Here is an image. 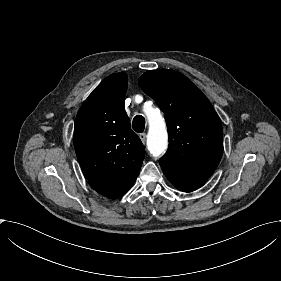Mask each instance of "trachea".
Listing matches in <instances>:
<instances>
[{
  "mask_svg": "<svg viewBox=\"0 0 281 281\" xmlns=\"http://www.w3.org/2000/svg\"><path fill=\"white\" fill-rule=\"evenodd\" d=\"M133 129L137 132V133H142L144 131L145 128V119L143 116L141 115H137L134 117L133 122Z\"/></svg>",
  "mask_w": 281,
  "mask_h": 281,
  "instance_id": "3493384b",
  "label": "trachea"
}]
</instances>
